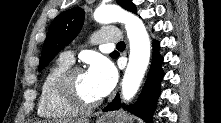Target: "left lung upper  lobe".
<instances>
[{"label": "left lung upper lobe", "mask_w": 221, "mask_h": 123, "mask_svg": "<svg viewBox=\"0 0 221 123\" xmlns=\"http://www.w3.org/2000/svg\"><path fill=\"white\" fill-rule=\"evenodd\" d=\"M116 2L124 9L137 13L136 6L131 0H116ZM84 18V10L75 7L62 12L53 20L43 45L39 71L77 36L82 28ZM110 55L116 58L118 53L113 52Z\"/></svg>", "instance_id": "5c2ea615"}]
</instances>
